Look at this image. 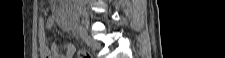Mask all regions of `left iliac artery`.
Wrapping results in <instances>:
<instances>
[{"mask_svg":"<svg viewBox=\"0 0 225 58\" xmlns=\"http://www.w3.org/2000/svg\"><path fill=\"white\" fill-rule=\"evenodd\" d=\"M78 32L81 36H84L86 34V29L82 25L79 26Z\"/></svg>","mask_w":225,"mask_h":58,"instance_id":"left-iliac-artery-1","label":"left iliac artery"}]
</instances>
